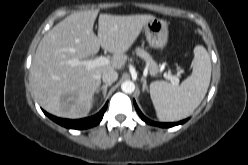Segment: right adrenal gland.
<instances>
[{
	"instance_id": "1",
	"label": "right adrenal gland",
	"mask_w": 248,
	"mask_h": 165,
	"mask_svg": "<svg viewBox=\"0 0 248 165\" xmlns=\"http://www.w3.org/2000/svg\"><path fill=\"white\" fill-rule=\"evenodd\" d=\"M111 86V84H104L102 87H99L97 89V93H99L101 90L103 91V97L106 96V93H107V88Z\"/></svg>"
}]
</instances>
